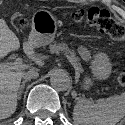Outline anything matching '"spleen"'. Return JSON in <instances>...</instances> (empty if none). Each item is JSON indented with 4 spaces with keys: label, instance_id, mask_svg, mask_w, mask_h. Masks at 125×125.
<instances>
[{
    "label": "spleen",
    "instance_id": "obj_1",
    "mask_svg": "<svg viewBox=\"0 0 125 125\" xmlns=\"http://www.w3.org/2000/svg\"><path fill=\"white\" fill-rule=\"evenodd\" d=\"M125 116V93L106 99H78L73 111L75 125H115Z\"/></svg>",
    "mask_w": 125,
    "mask_h": 125
}]
</instances>
